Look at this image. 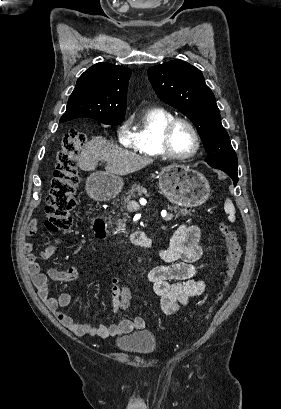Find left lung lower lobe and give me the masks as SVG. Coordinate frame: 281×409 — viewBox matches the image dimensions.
Masks as SVG:
<instances>
[{"instance_id": "1", "label": "left lung lower lobe", "mask_w": 281, "mask_h": 409, "mask_svg": "<svg viewBox=\"0 0 281 409\" xmlns=\"http://www.w3.org/2000/svg\"><path fill=\"white\" fill-rule=\"evenodd\" d=\"M213 167L220 169L224 171L225 173H227L232 178L234 182V186L237 184L238 182L237 168L238 167H233L229 165H219V166H213Z\"/></svg>"}]
</instances>
